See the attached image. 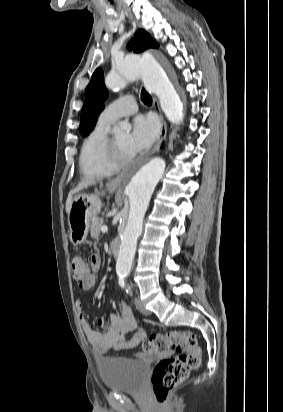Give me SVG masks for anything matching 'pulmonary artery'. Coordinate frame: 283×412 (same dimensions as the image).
<instances>
[{"instance_id":"obj_1","label":"pulmonary artery","mask_w":283,"mask_h":412,"mask_svg":"<svg viewBox=\"0 0 283 412\" xmlns=\"http://www.w3.org/2000/svg\"><path fill=\"white\" fill-rule=\"evenodd\" d=\"M137 108V103L133 97L123 96L106 106L101 112L99 119L102 122L111 124L122 117L134 114Z\"/></svg>"}]
</instances>
